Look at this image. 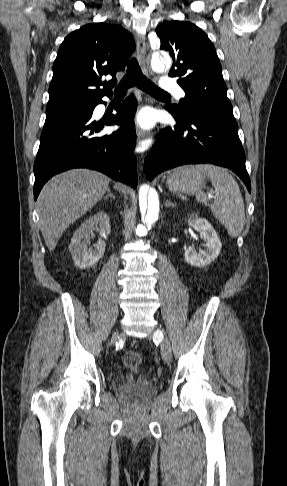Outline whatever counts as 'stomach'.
<instances>
[{
	"mask_svg": "<svg viewBox=\"0 0 287 486\" xmlns=\"http://www.w3.org/2000/svg\"><path fill=\"white\" fill-rule=\"evenodd\" d=\"M207 176L197 166H183L174 170L166 183L170 191L192 195L201 191Z\"/></svg>",
	"mask_w": 287,
	"mask_h": 486,
	"instance_id": "stomach-1",
	"label": "stomach"
}]
</instances>
